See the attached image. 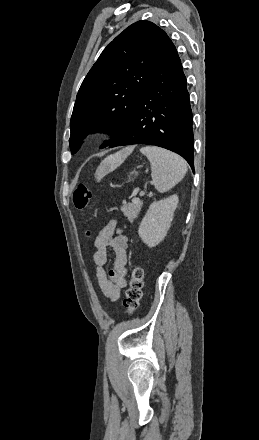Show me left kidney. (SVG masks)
<instances>
[{
	"mask_svg": "<svg viewBox=\"0 0 259 440\" xmlns=\"http://www.w3.org/2000/svg\"><path fill=\"white\" fill-rule=\"evenodd\" d=\"M178 195H171L153 202L140 223L138 234L150 248L158 245L166 236L171 226L174 211L178 205Z\"/></svg>",
	"mask_w": 259,
	"mask_h": 440,
	"instance_id": "obj_1",
	"label": "left kidney"
}]
</instances>
